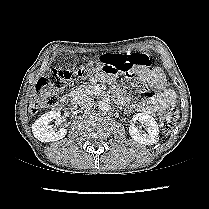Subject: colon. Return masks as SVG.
<instances>
[{"instance_id":"colon-1","label":"colon","mask_w":209,"mask_h":209,"mask_svg":"<svg viewBox=\"0 0 209 209\" xmlns=\"http://www.w3.org/2000/svg\"><path fill=\"white\" fill-rule=\"evenodd\" d=\"M150 57L144 53L132 54H108L99 58L98 61L91 63L89 71L102 70L107 73L115 71L130 72L133 68L140 65H149ZM77 77L70 71L53 69L48 77H41L32 94L30 102V112L35 114L43 109L56 106L60 100V93L63 92ZM178 112L172 108L168 110L161 119L160 134L166 136L172 124L177 120Z\"/></svg>"}]
</instances>
